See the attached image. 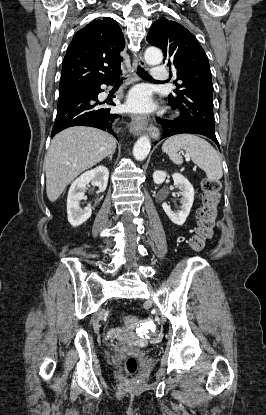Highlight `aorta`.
<instances>
[{
	"label": "aorta",
	"instance_id": "obj_1",
	"mask_svg": "<svg viewBox=\"0 0 266 415\" xmlns=\"http://www.w3.org/2000/svg\"><path fill=\"white\" fill-rule=\"evenodd\" d=\"M144 59L149 65H157L162 62V52L154 47H149L144 54ZM151 148L150 140L147 136L140 137L134 145L133 155L136 160H144Z\"/></svg>",
	"mask_w": 266,
	"mask_h": 415
}]
</instances>
